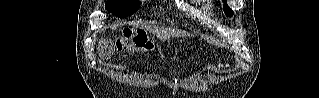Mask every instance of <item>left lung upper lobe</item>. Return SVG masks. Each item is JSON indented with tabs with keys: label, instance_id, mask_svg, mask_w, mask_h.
<instances>
[{
	"label": "left lung upper lobe",
	"instance_id": "left-lung-upper-lobe-1",
	"mask_svg": "<svg viewBox=\"0 0 319 98\" xmlns=\"http://www.w3.org/2000/svg\"><path fill=\"white\" fill-rule=\"evenodd\" d=\"M224 1V11H225V14L228 15V16H232L233 15V11L228 7V5L226 4V0H223Z\"/></svg>",
	"mask_w": 319,
	"mask_h": 98
}]
</instances>
